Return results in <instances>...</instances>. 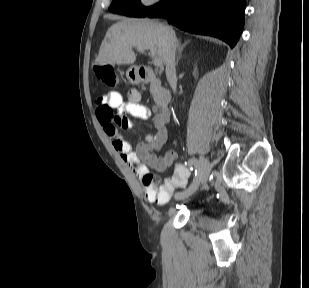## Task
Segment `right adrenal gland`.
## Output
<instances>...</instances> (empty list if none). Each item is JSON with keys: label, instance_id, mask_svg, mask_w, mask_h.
Wrapping results in <instances>:
<instances>
[{"label": "right adrenal gland", "instance_id": "obj_1", "mask_svg": "<svg viewBox=\"0 0 309 288\" xmlns=\"http://www.w3.org/2000/svg\"><path fill=\"white\" fill-rule=\"evenodd\" d=\"M190 42V40L186 41L184 44H181L179 41L177 42V49H178V56H177V60H176V64H178L180 57H181V53L184 49V47Z\"/></svg>", "mask_w": 309, "mask_h": 288}]
</instances>
